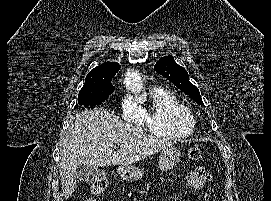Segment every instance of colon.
Instances as JSON below:
<instances>
[{
  "label": "colon",
  "mask_w": 271,
  "mask_h": 201,
  "mask_svg": "<svg viewBox=\"0 0 271 201\" xmlns=\"http://www.w3.org/2000/svg\"><path fill=\"white\" fill-rule=\"evenodd\" d=\"M202 157V150L200 147H192L187 152V158L191 162L200 160ZM109 181L106 177H100L96 179L91 185V191L94 196H98L106 191L108 188ZM88 201H94V198L91 197Z\"/></svg>",
  "instance_id": "obj_1"
}]
</instances>
